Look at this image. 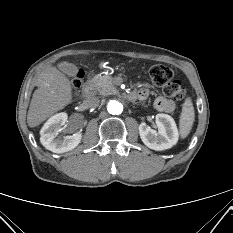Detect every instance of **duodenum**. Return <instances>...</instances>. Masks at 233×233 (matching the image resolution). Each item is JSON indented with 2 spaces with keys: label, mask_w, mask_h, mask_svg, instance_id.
<instances>
[{
  "label": "duodenum",
  "mask_w": 233,
  "mask_h": 233,
  "mask_svg": "<svg viewBox=\"0 0 233 233\" xmlns=\"http://www.w3.org/2000/svg\"><path fill=\"white\" fill-rule=\"evenodd\" d=\"M83 94H84V97L86 99H89L92 97V94H93V86L90 82H87L84 87H83ZM128 99L131 100V101H134L136 100L138 97L137 93L135 92H130L128 93L127 95Z\"/></svg>",
  "instance_id": "obj_1"
}]
</instances>
